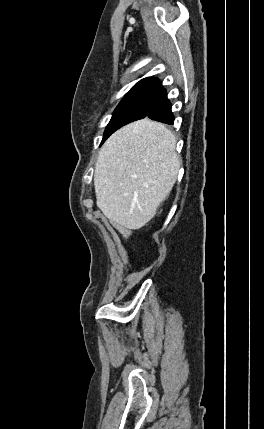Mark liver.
Listing matches in <instances>:
<instances>
[{
    "mask_svg": "<svg viewBox=\"0 0 264 429\" xmlns=\"http://www.w3.org/2000/svg\"><path fill=\"white\" fill-rule=\"evenodd\" d=\"M176 137L148 118L113 133L95 166L96 204L109 221L140 229L156 214L174 186L180 168Z\"/></svg>",
    "mask_w": 264,
    "mask_h": 429,
    "instance_id": "6515ba94",
    "label": "liver"
}]
</instances>
